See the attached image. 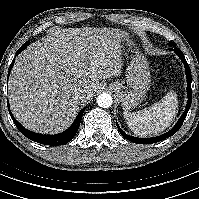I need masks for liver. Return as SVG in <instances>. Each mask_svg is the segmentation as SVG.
<instances>
[{"instance_id": "liver-1", "label": "liver", "mask_w": 199, "mask_h": 199, "mask_svg": "<svg viewBox=\"0 0 199 199\" xmlns=\"http://www.w3.org/2000/svg\"><path fill=\"white\" fill-rule=\"evenodd\" d=\"M126 33L118 28L56 30L16 58L9 78L10 108L27 129L57 134L94 96L99 79L119 76ZM84 91L82 99L73 95Z\"/></svg>"}]
</instances>
